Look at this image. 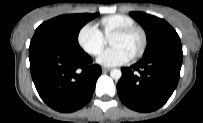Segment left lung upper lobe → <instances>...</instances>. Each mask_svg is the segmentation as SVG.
Instances as JSON below:
<instances>
[{
	"label": "left lung upper lobe",
	"mask_w": 203,
	"mask_h": 123,
	"mask_svg": "<svg viewBox=\"0 0 203 123\" xmlns=\"http://www.w3.org/2000/svg\"><path fill=\"white\" fill-rule=\"evenodd\" d=\"M130 15L146 31L148 49L144 57L172 47H182L178 34L165 20L143 12H131Z\"/></svg>",
	"instance_id": "left-lung-upper-lobe-1"
}]
</instances>
